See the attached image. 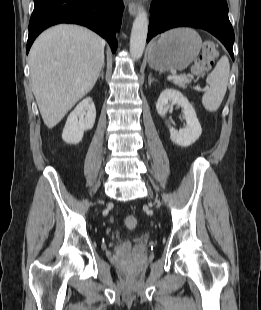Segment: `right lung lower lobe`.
Returning <instances> with one entry per match:
<instances>
[{
	"mask_svg": "<svg viewBox=\"0 0 261 310\" xmlns=\"http://www.w3.org/2000/svg\"><path fill=\"white\" fill-rule=\"evenodd\" d=\"M123 8L122 0H34L26 52L44 29L58 23H75L92 29L115 52V35L120 30Z\"/></svg>",
	"mask_w": 261,
	"mask_h": 310,
	"instance_id": "1",
	"label": "right lung lower lobe"
}]
</instances>
